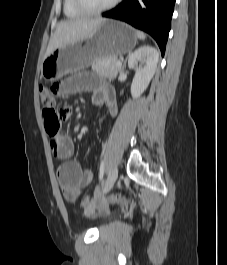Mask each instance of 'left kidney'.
I'll return each instance as SVG.
<instances>
[{
    "instance_id": "obj_1",
    "label": "left kidney",
    "mask_w": 227,
    "mask_h": 265,
    "mask_svg": "<svg viewBox=\"0 0 227 265\" xmlns=\"http://www.w3.org/2000/svg\"><path fill=\"white\" fill-rule=\"evenodd\" d=\"M158 58V51L149 45L140 47L129 56L128 67L135 70L131 84L133 98L140 97L148 87L156 71ZM138 62L140 63L139 66Z\"/></svg>"
}]
</instances>
